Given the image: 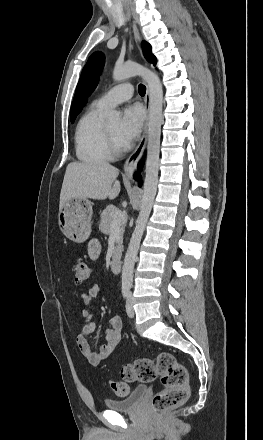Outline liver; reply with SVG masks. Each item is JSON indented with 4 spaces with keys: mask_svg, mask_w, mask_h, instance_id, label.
I'll list each match as a JSON object with an SVG mask.
<instances>
[{
    "mask_svg": "<svg viewBox=\"0 0 263 440\" xmlns=\"http://www.w3.org/2000/svg\"><path fill=\"white\" fill-rule=\"evenodd\" d=\"M119 170L107 162H72L66 167L59 208L72 198L115 199L120 193Z\"/></svg>",
    "mask_w": 263,
    "mask_h": 440,
    "instance_id": "6515ba94",
    "label": "liver"
}]
</instances>
